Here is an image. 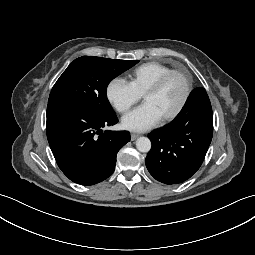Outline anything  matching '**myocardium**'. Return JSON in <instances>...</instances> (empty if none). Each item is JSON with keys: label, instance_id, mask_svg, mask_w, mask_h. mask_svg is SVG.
<instances>
[{"label": "myocardium", "instance_id": "obj_1", "mask_svg": "<svg viewBox=\"0 0 255 255\" xmlns=\"http://www.w3.org/2000/svg\"><path fill=\"white\" fill-rule=\"evenodd\" d=\"M175 74H178L180 76L183 77L184 79V82H185V92H184V95H183V98L180 102V104L177 106V108L165 115L164 117H162V119L164 121H170L174 118H176L180 113L181 111L184 109L189 97H190V94H191V90H192V84H191V79L189 77V75L184 71V70H181V69H171L170 71L166 72L165 74L161 75L146 91L145 93L143 94V97H145L146 95L148 94H152V93H156L158 92L162 87L163 85L165 84V82L172 76V75H175Z\"/></svg>", "mask_w": 255, "mask_h": 255}]
</instances>
